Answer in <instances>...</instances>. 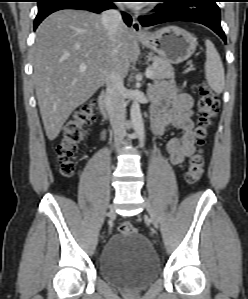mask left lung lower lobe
I'll return each instance as SVG.
<instances>
[{"mask_svg": "<svg viewBox=\"0 0 248 299\" xmlns=\"http://www.w3.org/2000/svg\"><path fill=\"white\" fill-rule=\"evenodd\" d=\"M217 0H161L164 2L153 15L142 16V26H152L169 21H188L203 24L212 29L226 43L224 31L220 25V9Z\"/></svg>", "mask_w": 248, "mask_h": 299, "instance_id": "0a47b994", "label": "left lung lower lobe"}]
</instances>
